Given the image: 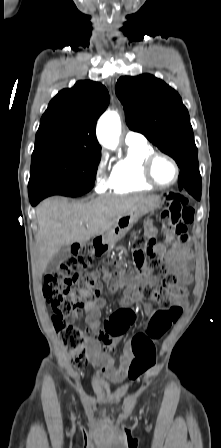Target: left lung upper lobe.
<instances>
[{"label":"left lung upper lobe","instance_id":"1","mask_svg":"<svg viewBox=\"0 0 221 448\" xmlns=\"http://www.w3.org/2000/svg\"><path fill=\"white\" fill-rule=\"evenodd\" d=\"M126 123L142 133L184 170L198 168L194 135L179 94L152 75L124 76L116 84Z\"/></svg>","mask_w":221,"mask_h":448}]
</instances>
